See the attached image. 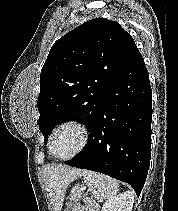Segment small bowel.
Instances as JSON below:
<instances>
[{"label":"small bowel","mask_w":178,"mask_h":211,"mask_svg":"<svg viewBox=\"0 0 178 211\" xmlns=\"http://www.w3.org/2000/svg\"><path fill=\"white\" fill-rule=\"evenodd\" d=\"M99 205L90 200V199H85L83 204L79 206L75 211H99Z\"/></svg>","instance_id":"1"}]
</instances>
